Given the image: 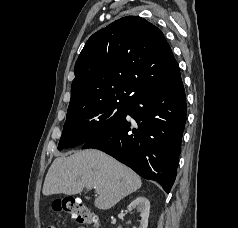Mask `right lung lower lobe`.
Here are the masks:
<instances>
[{"label":"right lung lower lobe","mask_w":238,"mask_h":228,"mask_svg":"<svg viewBox=\"0 0 238 228\" xmlns=\"http://www.w3.org/2000/svg\"><path fill=\"white\" fill-rule=\"evenodd\" d=\"M185 122L186 97L180 77L133 97L123 118L84 143L82 149L95 148L113 156L141 177L157 181L169 193L177 173Z\"/></svg>","instance_id":"obj_1"}]
</instances>
